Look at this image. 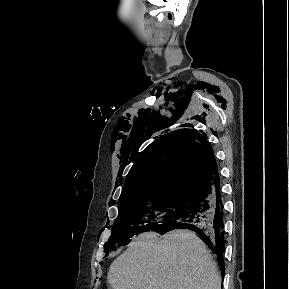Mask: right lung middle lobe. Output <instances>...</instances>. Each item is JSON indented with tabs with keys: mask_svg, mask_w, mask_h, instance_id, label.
I'll list each match as a JSON object with an SVG mask.
<instances>
[{
	"mask_svg": "<svg viewBox=\"0 0 289 289\" xmlns=\"http://www.w3.org/2000/svg\"><path fill=\"white\" fill-rule=\"evenodd\" d=\"M195 200V193L170 191L136 196L119 202V214L104 252L114 251L116 246L130 242L133 236L142 232L164 227L189 211Z\"/></svg>",
	"mask_w": 289,
	"mask_h": 289,
	"instance_id": "1",
	"label": "right lung middle lobe"
}]
</instances>
